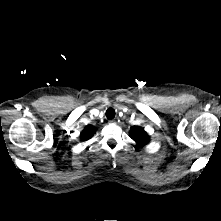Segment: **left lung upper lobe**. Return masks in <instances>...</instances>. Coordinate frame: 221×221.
Wrapping results in <instances>:
<instances>
[{
  "label": "left lung upper lobe",
  "instance_id": "1",
  "mask_svg": "<svg viewBox=\"0 0 221 221\" xmlns=\"http://www.w3.org/2000/svg\"><path fill=\"white\" fill-rule=\"evenodd\" d=\"M130 137L138 144L143 147L149 142V136L143 128L134 127L130 132Z\"/></svg>",
  "mask_w": 221,
  "mask_h": 221
}]
</instances>
